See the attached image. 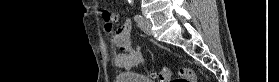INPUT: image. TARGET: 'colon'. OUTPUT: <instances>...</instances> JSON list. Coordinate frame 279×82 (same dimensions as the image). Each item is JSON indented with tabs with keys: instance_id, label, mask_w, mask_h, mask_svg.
Here are the masks:
<instances>
[{
	"instance_id": "colon-1",
	"label": "colon",
	"mask_w": 279,
	"mask_h": 82,
	"mask_svg": "<svg viewBox=\"0 0 279 82\" xmlns=\"http://www.w3.org/2000/svg\"><path fill=\"white\" fill-rule=\"evenodd\" d=\"M106 16V15H105ZM106 22L110 20L106 18ZM155 77L158 78L160 82H168L172 75V70L170 68H164L159 73H153ZM195 75L191 69L182 68L179 70L178 76L176 77L175 82H194Z\"/></svg>"
}]
</instances>
